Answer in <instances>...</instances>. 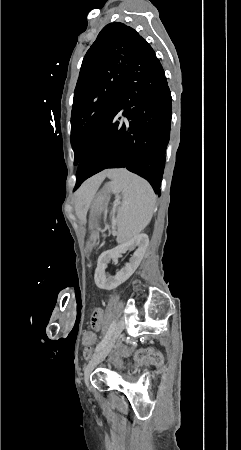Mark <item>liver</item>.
Returning a JSON list of instances; mask_svg holds the SVG:
<instances>
[{
	"label": "liver",
	"mask_w": 241,
	"mask_h": 450,
	"mask_svg": "<svg viewBox=\"0 0 241 450\" xmlns=\"http://www.w3.org/2000/svg\"><path fill=\"white\" fill-rule=\"evenodd\" d=\"M110 170H104V172H100L97 176H93V178H89L87 182L82 184L81 188H79L78 192L75 194L76 202H84V204H90L94 194H96L100 184H102L103 180H105L106 176H108Z\"/></svg>",
	"instance_id": "liver-1"
}]
</instances>
